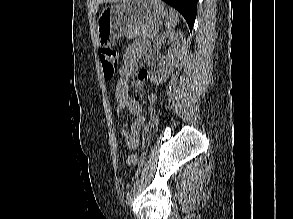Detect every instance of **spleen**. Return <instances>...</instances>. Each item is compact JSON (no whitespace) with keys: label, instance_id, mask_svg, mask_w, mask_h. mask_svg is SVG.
<instances>
[{"label":"spleen","instance_id":"3e777b00","mask_svg":"<svg viewBox=\"0 0 293 219\" xmlns=\"http://www.w3.org/2000/svg\"><path fill=\"white\" fill-rule=\"evenodd\" d=\"M177 23H179L178 13L170 8L169 9V18L166 21V28L168 30H172L176 27Z\"/></svg>","mask_w":293,"mask_h":219}]
</instances>
